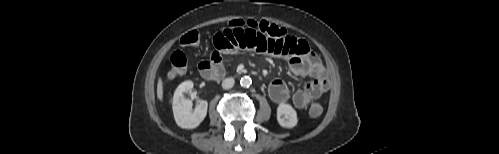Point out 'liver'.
I'll return each instance as SVG.
<instances>
[{"label": "liver", "instance_id": "6515ba94", "mask_svg": "<svg viewBox=\"0 0 499 154\" xmlns=\"http://www.w3.org/2000/svg\"><path fill=\"white\" fill-rule=\"evenodd\" d=\"M157 98L161 102L163 101V98H164L163 80L161 77H159L158 83H157Z\"/></svg>", "mask_w": 499, "mask_h": 154}]
</instances>
